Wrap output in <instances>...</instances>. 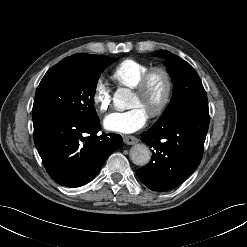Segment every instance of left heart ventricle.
Wrapping results in <instances>:
<instances>
[{"mask_svg":"<svg viewBox=\"0 0 247 247\" xmlns=\"http://www.w3.org/2000/svg\"><path fill=\"white\" fill-rule=\"evenodd\" d=\"M165 91V81L161 75H155L145 95L133 93L131 107L141 106L148 114L161 102Z\"/></svg>","mask_w":247,"mask_h":247,"instance_id":"1","label":"left heart ventricle"}]
</instances>
